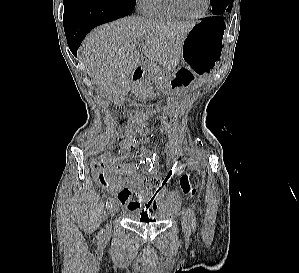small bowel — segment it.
Listing matches in <instances>:
<instances>
[{"label":"small bowel","mask_w":299,"mask_h":273,"mask_svg":"<svg viewBox=\"0 0 299 273\" xmlns=\"http://www.w3.org/2000/svg\"><path fill=\"white\" fill-rule=\"evenodd\" d=\"M135 144L133 133L127 134L122 142L121 149L126 153ZM143 164L149 171H157L162 167L156 153L143 150ZM108 177L98 180L99 184L108 192L115 195L124 206L126 212H132L141 220L148 221L157 210L174 211L180 202L176 191H170L167 181L154 176H142L133 164L120 163L110 158L108 163ZM174 174L170 172L169 177Z\"/></svg>","instance_id":"small-bowel-1"}]
</instances>
